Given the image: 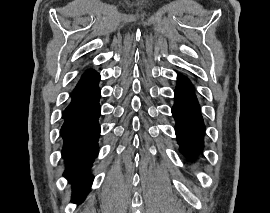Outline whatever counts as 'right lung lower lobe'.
I'll use <instances>...</instances> for the list:
<instances>
[{"label": "right lung lower lobe", "instance_id": "1", "mask_svg": "<svg viewBox=\"0 0 270 213\" xmlns=\"http://www.w3.org/2000/svg\"><path fill=\"white\" fill-rule=\"evenodd\" d=\"M99 80L97 72L87 70L73 90L71 102L62 114L64 123L60 135L63 138L64 176L74 187L72 202L84 200L94 178L89 175V170L98 153V118L101 113Z\"/></svg>", "mask_w": 270, "mask_h": 213}]
</instances>
